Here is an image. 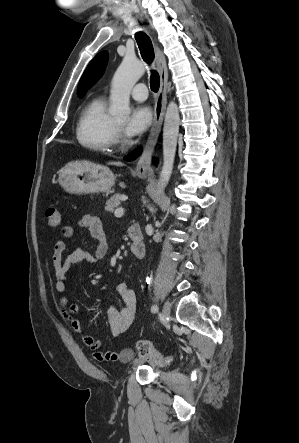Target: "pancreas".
Here are the masks:
<instances>
[{"label":"pancreas","mask_w":299,"mask_h":443,"mask_svg":"<svg viewBox=\"0 0 299 443\" xmlns=\"http://www.w3.org/2000/svg\"><path fill=\"white\" fill-rule=\"evenodd\" d=\"M122 201V195L121 194H115L113 195L109 200L106 202L105 211L107 212H114L117 208L120 207Z\"/></svg>","instance_id":"cf45deb5"}]
</instances>
